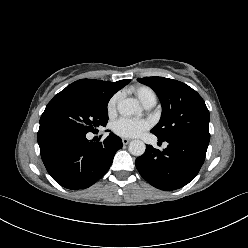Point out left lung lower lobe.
Here are the masks:
<instances>
[{
  "label": "left lung lower lobe",
  "instance_id": "0a47b994",
  "mask_svg": "<svg viewBox=\"0 0 248 248\" xmlns=\"http://www.w3.org/2000/svg\"><path fill=\"white\" fill-rule=\"evenodd\" d=\"M160 140V139H158ZM210 140L208 133L180 134L166 140L163 151L147 145L135 161L140 175L161 190L179 189L198 174Z\"/></svg>",
  "mask_w": 248,
  "mask_h": 248
}]
</instances>
